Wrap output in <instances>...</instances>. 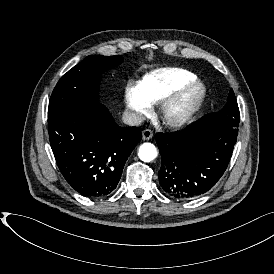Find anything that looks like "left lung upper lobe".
I'll use <instances>...</instances> for the list:
<instances>
[{
  "instance_id": "left-lung-upper-lobe-1",
  "label": "left lung upper lobe",
  "mask_w": 274,
  "mask_h": 274,
  "mask_svg": "<svg viewBox=\"0 0 274 274\" xmlns=\"http://www.w3.org/2000/svg\"><path fill=\"white\" fill-rule=\"evenodd\" d=\"M201 119L238 131L240 112L233 90L230 89L227 104L222 110L219 112L209 113Z\"/></svg>"
}]
</instances>
